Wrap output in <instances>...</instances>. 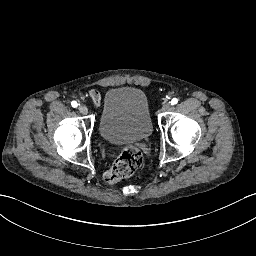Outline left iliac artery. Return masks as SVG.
I'll return each instance as SVG.
<instances>
[{
  "instance_id": "44dca946",
  "label": "left iliac artery",
  "mask_w": 256,
  "mask_h": 256,
  "mask_svg": "<svg viewBox=\"0 0 256 256\" xmlns=\"http://www.w3.org/2000/svg\"><path fill=\"white\" fill-rule=\"evenodd\" d=\"M178 103V99L177 98H173L172 100H171V105H175V104H177Z\"/></svg>"
}]
</instances>
